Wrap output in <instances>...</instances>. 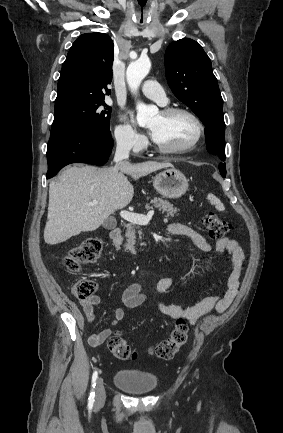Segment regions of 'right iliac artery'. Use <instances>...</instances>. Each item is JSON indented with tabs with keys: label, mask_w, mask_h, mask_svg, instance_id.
Returning a JSON list of instances; mask_svg holds the SVG:
<instances>
[{
	"label": "right iliac artery",
	"mask_w": 283,
	"mask_h": 433,
	"mask_svg": "<svg viewBox=\"0 0 283 433\" xmlns=\"http://www.w3.org/2000/svg\"><path fill=\"white\" fill-rule=\"evenodd\" d=\"M97 377H98V372L95 371V372L93 373V375H92V391H91L90 396H89V398H88V408H89V409H92L93 404H94V401H95V392H94V388H95V386H96V380H97Z\"/></svg>",
	"instance_id": "right-iliac-artery-1"
}]
</instances>
